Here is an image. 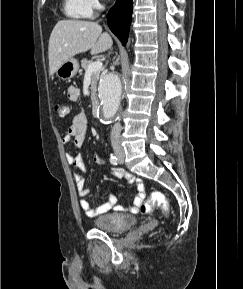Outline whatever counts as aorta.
I'll list each match as a JSON object with an SVG mask.
<instances>
[{"mask_svg": "<svg viewBox=\"0 0 243 289\" xmlns=\"http://www.w3.org/2000/svg\"><path fill=\"white\" fill-rule=\"evenodd\" d=\"M98 93L102 118L109 122L116 116L120 106L122 83L119 76L115 73L105 75L100 82Z\"/></svg>", "mask_w": 243, "mask_h": 289, "instance_id": "aorta-1", "label": "aorta"}]
</instances>
